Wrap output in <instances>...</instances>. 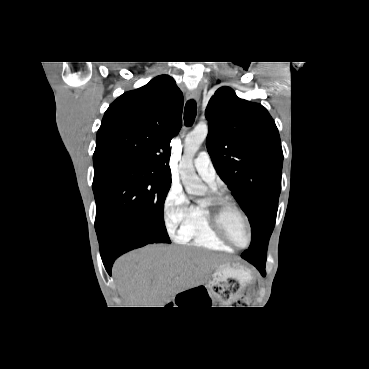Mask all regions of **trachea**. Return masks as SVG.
<instances>
[{"instance_id": "obj_1", "label": "trachea", "mask_w": 369, "mask_h": 369, "mask_svg": "<svg viewBox=\"0 0 369 369\" xmlns=\"http://www.w3.org/2000/svg\"><path fill=\"white\" fill-rule=\"evenodd\" d=\"M197 113V104L194 99L187 101L184 109V121L186 126H191Z\"/></svg>"}]
</instances>
